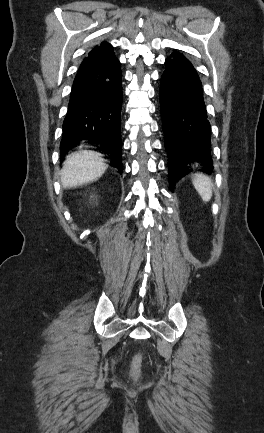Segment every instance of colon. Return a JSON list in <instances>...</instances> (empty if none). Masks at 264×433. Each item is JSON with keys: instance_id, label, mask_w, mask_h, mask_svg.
<instances>
[{"instance_id": "5ec220e1", "label": "colon", "mask_w": 264, "mask_h": 433, "mask_svg": "<svg viewBox=\"0 0 264 433\" xmlns=\"http://www.w3.org/2000/svg\"><path fill=\"white\" fill-rule=\"evenodd\" d=\"M141 355L137 354L135 355V357L132 360V364H131V374L134 377H137L139 375L140 372V366H141Z\"/></svg>"}]
</instances>
